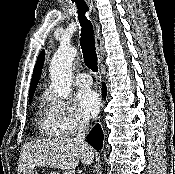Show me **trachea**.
<instances>
[{
	"label": "trachea",
	"instance_id": "trachea-1",
	"mask_svg": "<svg viewBox=\"0 0 175 174\" xmlns=\"http://www.w3.org/2000/svg\"><path fill=\"white\" fill-rule=\"evenodd\" d=\"M78 8V19L81 25V47L85 64L97 72V54L94 40L93 25L85 16L88 10L87 4L82 0H75Z\"/></svg>",
	"mask_w": 175,
	"mask_h": 174
}]
</instances>
